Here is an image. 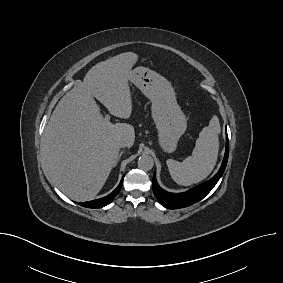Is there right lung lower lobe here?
Masks as SVG:
<instances>
[{"label": "right lung lower lobe", "instance_id": "1", "mask_svg": "<svg viewBox=\"0 0 283 283\" xmlns=\"http://www.w3.org/2000/svg\"><path fill=\"white\" fill-rule=\"evenodd\" d=\"M123 184V178L120 182V184L118 185V187L109 195L100 198V199H96L93 201H88V202H82V203H78L79 205L83 206V207H87V208H102L106 205H108L109 203L112 202V200L114 199V197L119 193V191L121 190Z\"/></svg>", "mask_w": 283, "mask_h": 283}]
</instances>
